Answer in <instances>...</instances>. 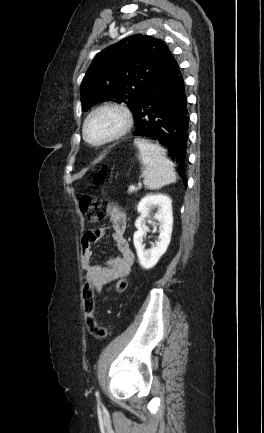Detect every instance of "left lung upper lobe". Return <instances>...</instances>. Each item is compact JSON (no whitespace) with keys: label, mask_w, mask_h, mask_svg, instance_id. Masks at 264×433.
Segmentation results:
<instances>
[{"label":"left lung upper lobe","mask_w":264,"mask_h":433,"mask_svg":"<svg viewBox=\"0 0 264 433\" xmlns=\"http://www.w3.org/2000/svg\"><path fill=\"white\" fill-rule=\"evenodd\" d=\"M160 39L133 35L97 54L81 85L82 109L100 101L126 103L133 110L142 91L171 56Z\"/></svg>","instance_id":"left-lung-upper-lobe-1"}]
</instances>
